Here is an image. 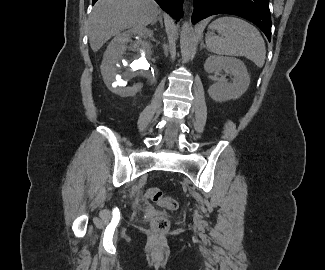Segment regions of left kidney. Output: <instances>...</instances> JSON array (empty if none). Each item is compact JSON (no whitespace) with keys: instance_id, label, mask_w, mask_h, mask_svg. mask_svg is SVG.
<instances>
[{"instance_id":"obj_1","label":"left kidney","mask_w":325,"mask_h":270,"mask_svg":"<svg viewBox=\"0 0 325 270\" xmlns=\"http://www.w3.org/2000/svg\"><path fill=\"white\" fill-rule=\"evenodd\" d=\"M204 69L208 73L215 74H218L222 70L229 71L233 76L232 82L221 78L208 89L209 96L216 102H225L240 98L250 84L247 68L237 58L212 55L206 59Z\"/></svg>"}]
</instances>
